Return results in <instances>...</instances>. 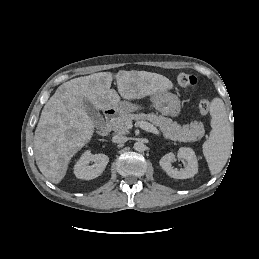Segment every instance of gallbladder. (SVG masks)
<instances>
[{
    "instance_id": "bac80fb5",
    "label": "gallbladder",
    "mask_w": 259,
    "mask_h": 259,
    "mask_svg": "<svg viewBox=\"0 0 259 259\" xmlns=\"http://www.w3.org/2000/svg\"><path fill=\"white\" fill-rule=\"evenodd\" d=\"M84 106L85 109L90 116V118L93 120L94 125L97 127H100L104 124V118L101 115V113L91 104L90 101L87 99H84Z\"/></svg>"
}]
</instances>
